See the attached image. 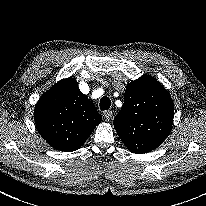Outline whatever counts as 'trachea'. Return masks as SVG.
<instances>
[{
	"label": "trachea",
	"mask_w": 206,
	"mask_h": 206,
	"mask_svg": "<svg viewBox=\"0 0 206 206\" xmlns=\"http://www.w3.org/2000/svg\"><path fill=\"white\" fill-rule=\"evenodd\" d=\"M111 106V100L109 99V97L104 96L101 98L100 100V109L101 110H108Z\"/></svg>",
	"instance_id": "obj_1"
}]
</instances>
